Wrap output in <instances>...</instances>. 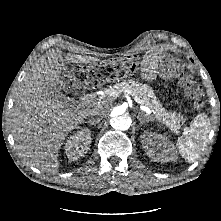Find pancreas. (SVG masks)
I'll return each instance as SVG.
<instances>
[{
    "label": "pancreas",
    "instance_id": "1",
    "mask_svg": "<svg viewBox=\"0 0 221 221\" xmlns=\"http://www.w3.org/2000/svg\"><path fill=\"white\" fill-rule=\"evenodd\" d=\"M125 90L133 97L136 96L139 99V104L148 107L154 119L166 125L171 131L177 132L181 127V123H184V117L182 115L167 111L162 106L154 95L152 88L134 80H125L105 89L104 95H102L101 98L115 97Z\"/></svg>",
    "mask_w": 221,
    "mask_h": 221
}]
</instances>
